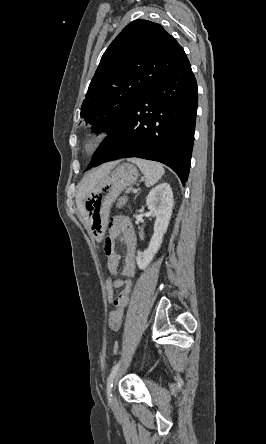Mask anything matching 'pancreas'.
<instances>
[{
    "mask_svg": "<svg viewBox=\"0 0 266 444\" xmlns=\"http://www.w3.org/2000/svg\"><path fill=\"white\" fill-rule=\"evenodd\" d=\"M130 191H131V189H127V190H126V193H129Z\"/></svg>",
    "mask_w": 266,
    "mask_h": 444,
    "instance_id": "1",
    "label": "pancreas"
}]
</instances>
